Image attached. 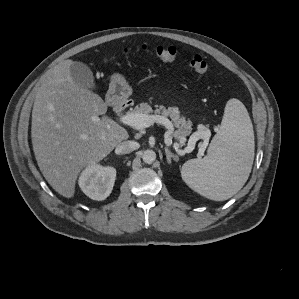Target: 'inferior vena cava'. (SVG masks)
<instances>
[{
	"instance_id": "1",
	"label": "inferior vena cava",
	"mask_w": 299,
	"mask_h": 299,
	"mask_svg": "<svg viewBox=\"0 0 299 299\" xmlns=\"http://www.w3.org/2000/svg\"><path fill=\"white\" fill-rule=\"evenodd\" d=\"M139 148V143L136 141H123L116 147L118 154H128Z\"/></svg>"
}]
</instances>
